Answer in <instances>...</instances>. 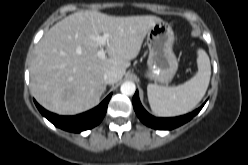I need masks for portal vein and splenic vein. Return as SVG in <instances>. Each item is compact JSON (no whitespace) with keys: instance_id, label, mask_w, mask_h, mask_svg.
I'll return each instance as SVG.
<instances>
[{"instance_id":"portal-vein-and-splenic-vein-1","label":"portal vein and splenic vein","mask_w":248,"mask_h":165,"mask_svg":"<svg viewBox=\"0 0 248 165\" xmlns=\"http://www.w3.org/2000/svg\"><path fill=\"white\" fill-rule=\"evenodd\" d=\"M109 37H110V34H108V33H105V34H103V35H98V36H96V37H93V39H94L95 41H97V42L102 46V48L97 52V55H98V57H100V58H105L106 52H105L103 46H104V45L106 44V42L108 41Z\"/></svg>"}]
</instances>
